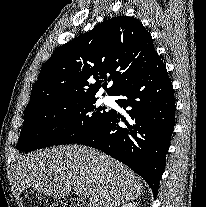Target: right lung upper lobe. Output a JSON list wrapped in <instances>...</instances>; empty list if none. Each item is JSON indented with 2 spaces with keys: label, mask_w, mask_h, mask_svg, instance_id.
<instances>
[{
  "label": "right lung upper lobe",
  "mask_w": 206,
  "mask_h": 207,
  "mask_svg": "<svg viewBox=\"0 0 206 207\" xmlns=\"http://www.w3.org/2000/svg\"><path fill=\"white\" fill-rule=\"evenodd\" d=\"M156 56L151 35L139 20H106L55 50L41 68L25 112L48 102L95 96L101 86L106 89V80L112 83L107 94L114 95Z\"/></svg>",
  "instance_id": "1"
}]
</instances>
